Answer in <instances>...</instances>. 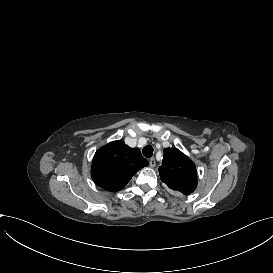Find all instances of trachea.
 Segmentation results:
<instances>
[{
    "mask_svg": "<svg viewBox=\"0 0 273 273\" xmlns=\"http://www.w3.org/2000/svg\"><path fill=\"white\" fill-rule=\"evenodd\" d=\"M143 155L146 157V158H150L152 157L153 155V147L151 145H146L143 150Z\"/></svg>",
    "mask_w": 273,
    "mask_h": 273,
    "instance_id": "3493384b",
    "label": "trachea"
}]
</instances>
